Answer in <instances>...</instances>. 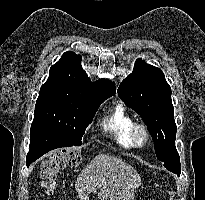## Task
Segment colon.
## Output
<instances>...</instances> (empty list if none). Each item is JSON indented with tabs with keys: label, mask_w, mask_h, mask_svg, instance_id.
<instances>
[{
	"label": "colon",
	"mask_w": 205,
	"mask_h": 200,
	"mask_svg": "<svg viewBox=\"0 0 205 200\" xmlns=\"http://www.w3.org/2000/svg\"><path fill=\"white\" fill-rule=\"evenodd\" d=\"M81 162L80 152L68 147L53 153L43 164L41 169L42 185L48 194L55 187V178L59 171L66 167H76Z\"/></svg>",
	"instance_id": "1"
}]
</instances>
